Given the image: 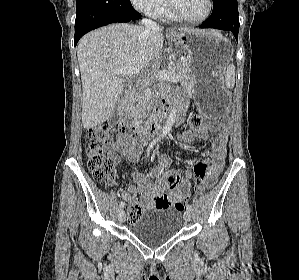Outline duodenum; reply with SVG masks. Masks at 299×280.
I'll use <instances>...</instances> for the list:
<instances>
[{"label": "duodenum", "instance_id": "1", "mask_svg": "<svg viewBox=\"0 0 299 280\" xmlns=\"http://www.w3.org/2000/svg\"><path fill=\"white\" fill-rule=\"evenodd\" d=\"M134 92L128 91L120 106L121 121L120 125L123 131L130 134L136 140H147L154 137L160 130L162 121L169 110L174 106L171 98H166L160 103L154 117L146 124H139L132 119L131 105L134 98ZM184 109V103L176 104V115L179 118Z\"/></svg>", "mask_w": 299, "mask_h": 280}]
</instances>
